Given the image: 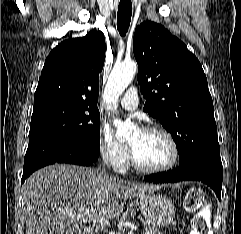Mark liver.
<instances>
[{"mask_svg":"<svg viewBox=\"0 0 241 234\" xmlns=\"http://www.w3.org/2000/svg\"><path fill=\"white\" fill-rule=\"evenodd\" d=\"M156 188L88 167H44L23 185L26 234H81V223L118 217L122 212L120 199L150 194Z\"/></svg>","mask_w":241,"mask_h":234,"instance_id":"obj_1","label":"liver"}]
</instances>
